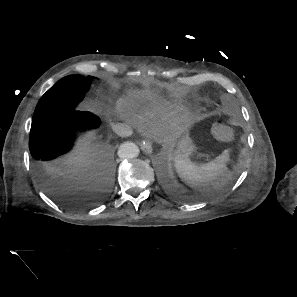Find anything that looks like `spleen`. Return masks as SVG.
<instances>
[{
    "mask_svg": "<svg viewBox=\"0 0 297 297\" xmlns=\"http://www.w3.org/2000/svg\"><path fill=\"white\" fill-rule=\"evenodd\" d=\"M228 160L229 153L228 150H225L214 160L205 164H196L189 158L177 157L175 167L179 176L190 186H218L222 183Z\"/></svg>",
    "mask_w": 297,
    "mask_h": 297,
    "instance_id": "1",
    "label": "spleen"
}]
</instances>
